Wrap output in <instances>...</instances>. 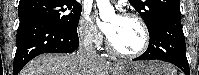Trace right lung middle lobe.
Instances as JSON below:
<instances>
[{"mask_svg":"<svg viewBox=\"0 0 199 75\" xmlns=\"http://www.w3.org/2000/svg\"><path fill=\"white\" fill-rule=\"evenodd\" d=\"M81 5L75 0H26L19 3L20 23L39 20L68 32L77 30Z\"/></svg>","mask_w":199,"mask_h":75,"instance_id":"obj_1","label":"right lung middle lobe"}]
</instances>
